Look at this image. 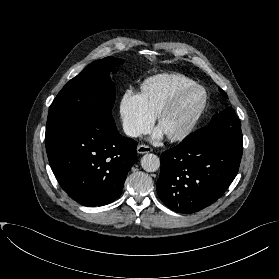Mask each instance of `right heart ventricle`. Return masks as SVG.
<instances>
[{
  "label": "right heart ventricle",
  "mask_w": 279,
  "mask_h": 279,
  "mask_svg": "<svg viewBox=\"0 0 279 279\" xmlns=\"http://www.w3.org/2000/svg\"><path fill=\"white\" fill-rule=\"evenodd\" d=\"M196 84L181 73H160L144 80L140 86V96L147 110L155 117L178 92Z\"/></svg>",
  "instance_id": "obj_1"
}]
</instances>
